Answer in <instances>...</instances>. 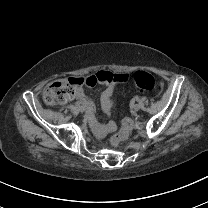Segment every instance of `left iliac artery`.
<instances>
[{
    "label": "left iliac artery",
    "instance_id": "obj_1",
    "mask_svg": "<svg viewBox=\"0 0 208 208\" xmlns=\"http://www.w3.org/2000/svg\"><path fill=\"white\" fill-rule=\"evenodd\" d=\"M135 99H136V101H138V100H139V98H138V97H136Z\"/></svg>",
    "mask_w": 208,
    "mask_h": 208
}]
</instances>
